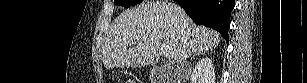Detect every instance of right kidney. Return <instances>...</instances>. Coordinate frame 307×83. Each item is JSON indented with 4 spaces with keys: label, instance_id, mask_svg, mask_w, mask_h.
Here are the masks:
<instances>
[{
    "label": "right kidney",
    "instance_id": "ca27d5eb",
    "mask_svg": "<svg viewBox=\"0 0 307 83\" xmlns=\"http://www.w3.org/2000/svg\"><path fill=\"white\" fill-rule=\"evenodd\" d=\"M191 83H215L214 65L210 58H203L197 62L192 72Z\"/></svg>",
    "mask_w": 307,
    "mask_h": 83
}]
</instances>
